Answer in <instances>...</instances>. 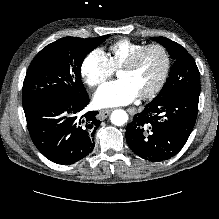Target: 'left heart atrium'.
Returning a JSON list of instances; mask_svg holds the SVG:
<instances>
[{
  "label": "left heart atrium",
  "mask_w": 219,
  "mask_h": 219,
  "mask_svg": "<svg viewBox=\"0 0 219 219\" xmlns=\"http://www.w3.org/2000/svg\"><path fill=\"white\" fill-rule=\"evenodd\" d=\"M136 89L125 79L108 82L101 86L94 96L98 107H114L131 103L138 96Z\"/></svg>",
  "instance_id": "1"
}]
</instances>
